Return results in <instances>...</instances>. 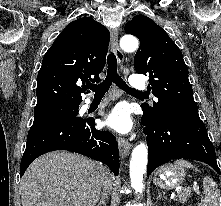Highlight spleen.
I'll return each mask as SVG.
<instances>
[{"instance_id":"obj_1","label":"spleen","mask_w":221,"mask_h":206,"mask_svg":"<svg viewBox=\"0 0 221 206\" xmlns=\"http://www.w3.org/2000/svg\"><path fill=\"white\" fill-rule=\"evenodd\" d=\"M175 165H178L180 167L192 168L195 169L196 172L199 171L190 162L186 160H177L175 162ZM203 187L205 197L203 200H201L198 206H221V197L219 201V190L217 184L210 176L204 177Z\"/></svg>"}]
</instances>
